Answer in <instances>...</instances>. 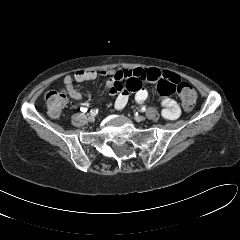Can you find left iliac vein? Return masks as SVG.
I'll list each match as a JSON object with an SVG mask.
<instances>
[{
	"label": "left iliac vein",
	"mask_w": 240,
	"mask_h": 240,
	"mask_svg": "<svg viewBox=\"0 0 240 240\" xmlns=\"http://www.w3.org/2000/svg\"><path fill=\"white\" fill-rule=\"evenodd\" d=\"M137 122L144 121L146 118L144 116L137 115L134 117Z\"/></svg>",
	"instance_id": "1"
}]
</instances>
